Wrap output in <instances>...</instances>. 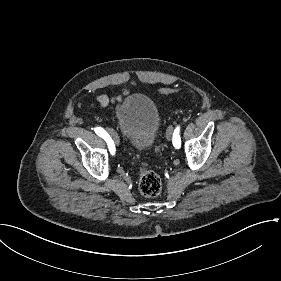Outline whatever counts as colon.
<instances>
[{
    "label": "colon",
    "instance_id": "1",
    "mask_svg": "<svg viewBox=\"0 0 281 281\" xmlns=\"http://www.w3.org/2000/svg\"><path fill=\"white\" fill-rule=\"evenodd\" d=\"M160 93L167 94L169 90L162 89ZM138 186L144 196L152 198L160 194L163 184L159 174L144 164L140 171Z\"/></svg>",
    "mask_w": 281,
    "mask_h": 281
}]
</instances>
